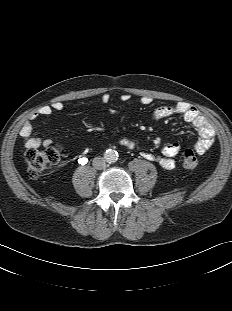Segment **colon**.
<instances>
[{"label":"colon","instance_id":"obj_1","mask_svg":"<svg viewBox=\"0 0 232 311\" xmlns=\"http://www.w3.org/2000/svg\"><path fill=\"white\" fill-rule=\"evenodd\" d=\"M64 150L61 146H49L43 150L30 149L25 153L27 175L34 179L39 177L47 169L56 165ZM183 164L188 169L196 168L198 158L194 150L187 149L183 153Z\"/></svg>","mask_w":232,"mask_h":311}]
</instances>
